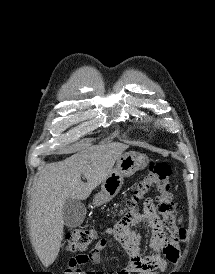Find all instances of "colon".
Instances as JSON below:
<instances>
[{"label": "colon", "instance_id": "5ec220e1", "mask_svg": "<svg viewBox=\"0 0 215 274\" xmlns=\"http://www.w3.org/2000/svg\"><path fill=\"white\" fill-rule=\"evenodd\" d=\"M171 167L163 161L150 162L147 175L140 180L134 189L131 199L128 201L129 207H135L137 202L149 192L156 188L159 192L157 201L158 209L163 217V225L167 229L166 238L169 242L179 244L186 238L184 228L178 227L175 216V203L170 191ZM96 237L93 229L76 228L71 230L66 237L67 250L85 251L89 248Z\"/></svg>", "mask_w": 215, "mask_h": 274}]
</instances>
